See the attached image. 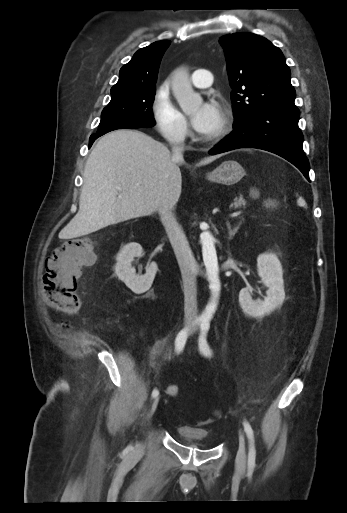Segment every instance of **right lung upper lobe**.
Returning <instances> with one entry per match:
<instances>
[{
    "label": "right lung upper lobe",
    "mask_w": 347,
    "mask_h": 513,
    "mask_svg": "<svg viewBox=\"0 0 347 513\" xmlns=\"http://www.w3.org/2000/svg\"><path fill=\"white\" fill-rule=\"evenodd\" d=\"M169 45V40H161L138 50L130 62L121 68L119 80L111 91L156 86L160 61Z\"/></svg>",
    "instance_id": "1"
}]
</instances>
